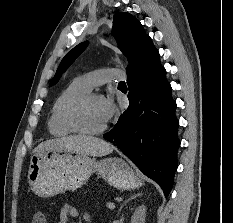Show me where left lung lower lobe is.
I'll return each mask as SVG.
<instances>
[{"instance_id":"obj_1","label":"left lung lower lobe","mask_w":233,"mask_h":223,"mask_svg":"<svg viewBox=\"0 0 233 223\" xmlns=\"http://www.w3.org/2000/svg\"><path fill=\"white\" fill-rule=\"evenodd\" d=\"M129 107L103 137L116 146L169 194L177 169L176 103L158 50L150 44L127 72Z\"/></svg>"}]
</instances>
